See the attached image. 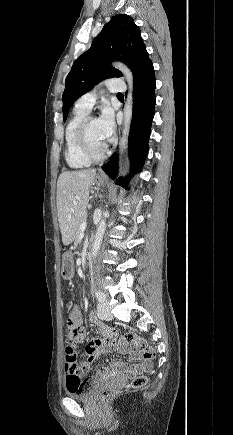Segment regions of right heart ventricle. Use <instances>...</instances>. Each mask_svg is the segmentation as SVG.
Wrapping results in <instances>:
<instances>
[{"instance_id":"right-heart-ventricle-1","label":"right heart ventricle","mask_w":233,"mask_h":435,"mask_svg":"<svg viewBox=\"0 0 233 435\" xmlns=\"http://www.w3.org/2000/svg\"><path fill=\"white\" fill-rule=\"evenodd\" d=\"M87 114L76 107L65 128V160L73 169L86 168L91 165V161L82 154L77 141L78 128Z\"/></svg>"}]
</instances>
